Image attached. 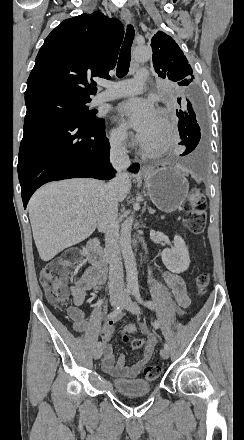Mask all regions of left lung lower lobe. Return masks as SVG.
Listing matches in <instances>:
<instances>
[{"mask_svg": "<svg viewBox=\"0 0 244 440\" xmlns=\"http://www.w3.org/2000/svg\"><path fill=\"white\" fill-rule=\"evenodd\" d=\"M177 102L181 106L180 110H176L179 118L178 128L182 142L179 144L187 147L186 151L181 154L184 156L192 152L198 145L201 132H200V117L201 108L199 99L194 90L190 89L182 97L177 99Z\"/></svg>", "mask_w": 244, "mask_h": 440, "instance_id": "left-lung-lower-lobe-1", "label": "left lung lower lobe"}]
</instances>
